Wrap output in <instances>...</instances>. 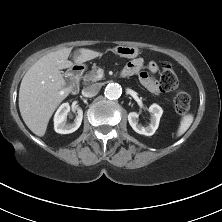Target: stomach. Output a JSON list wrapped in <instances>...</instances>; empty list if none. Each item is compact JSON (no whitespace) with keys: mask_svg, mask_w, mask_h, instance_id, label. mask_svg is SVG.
I'll use <instances>...</instances> for the list:
<instances>
[{"mask_svg":"<svg viewBox=\"0 0 222 222\" xmlns=\"http://www.w3.org/2000/svg\"><path fill=\"white\" fill-rule=\"evenodd\" d=\"M115 53L121 57L132 59L138 56L139 50L134 46L120 45L115 48Z\"/></svg>","mask_w":222,"mask_h":222,"instance_id":"stomach-1","label":"stomach"}]
</instances>
